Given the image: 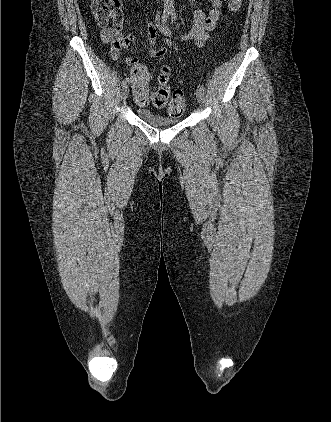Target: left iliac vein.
<instances>
[{
    "label": "left iliac vein",
    "instance_id": "left-iliac-vein-1",
    "mask_svg": "<svg viewBox=\"0 0 331 422\" xmlns=\"http://www.w3.org/2000/svg\"><path fill=\"white\" fill-rule=\"evenodd\" d=\"M196 98H197V101L200 104H203L204 103V100H205V98H204V92L201 89H197V91H196Z\"/></svg>",
    "mask_w": 331,
    "mask_h": 422
}]
</instances>
